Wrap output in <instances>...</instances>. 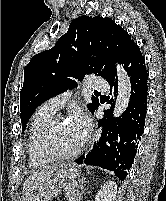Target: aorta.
I'll return each mask as SVG.
<instances>
[{
  "label": "aorta",
  "mask_w": 166,
  "mask_h": 201,
  "mask_svg": "<svg viewBox=\"0 0 166 201\" xmlns=\"http://www.w3.org/2000/svg\"><path fill=\"white\" fill-rule=\"evenodd\" d=\"M117 76H118V95L115 102L113 115L115 117L121 116L126 110L131 95L130 79L124 70L123 66L117 65Z\"/></svg>",
  "instance_id": "762f6f07"
}]
</instances>
